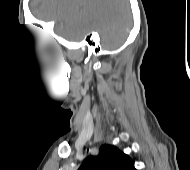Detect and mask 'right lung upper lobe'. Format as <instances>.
I'll return each instance as SVG.
<instances>
[{"mask_svg": "<svg viewBox=\"0 0 190 170\" xmlns=\"http://www.w3.org/2000/svg\"><path fill=\"white\" fill-rule=\"evenodd\" d=\"M78 170H136L132 159L117 147L104 144L97 156L87 157Z\"/></svg>", "mask_w": 190, "mask_h": 170, "instance_id": "cb5924a9", "label": "right lung upper lobe"}]
</instances>
